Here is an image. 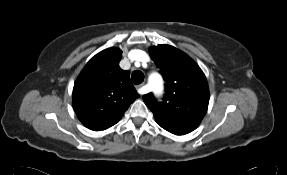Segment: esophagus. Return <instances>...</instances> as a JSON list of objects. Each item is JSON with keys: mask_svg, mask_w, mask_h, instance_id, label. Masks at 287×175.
Listing matches in <instances>:
<instances>
[{"mask_svg": "<svg viewBox=\"0 0 287 175\" xmlns=\"http://www.w3.org/2000/svg\"><path fill=\"white\" fill-rule=\"evenodd\" d=\"M137 91L139 92V94L143 95L144 94V84L138 85Z\"/></svg>", "mask_w": 287, "mask_h": 175, "instance_id": "34e87169", "label": "esophagus"}]
</instances>
